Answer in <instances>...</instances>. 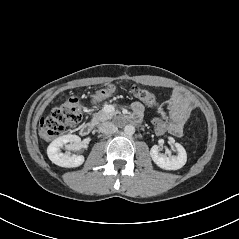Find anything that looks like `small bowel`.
I'll use <instances>...</instances> for the list:
<instances>
[{"mask_svg":"<svg viewBox=\"0 0 239 239\" xmlns=\"http://www.w3.org/2000/svg\"><path fill=\"white\" fill-rule=\"evenodd\" d=\"M192 111V100L184 92L174 91L168 102V112L171 118V126L168 133L181 136L183 127ZM143 115V106L140 102L132 104V119L139 121Z\"/></svg>","mask_w":239,"mask_h":239,"instance_id":"c3829d8e","label":"small bowel"}]
</instances>
